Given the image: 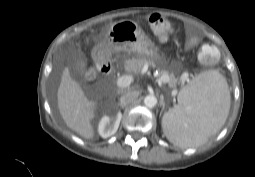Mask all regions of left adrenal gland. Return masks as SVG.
I'll list each match as a JSON object with an SVG mask.
<instances>
[{
  "label": "left adrenal gland",
  "mask_w": 255,
  "mask_h": 177,
  "mask_svg": "<svg viewBox=\"0 0 255 177\" xmlns=\"http://www.w3.org/2000/svg\"><path fill=\"white\" fill-rule=\"evenodd\" d=\"M164 108H165V103L163 102V104H162V111L164 110Z\"/></svg>",
  "instance_id": "left-adrenal-gland-1"
}]
</instances>
